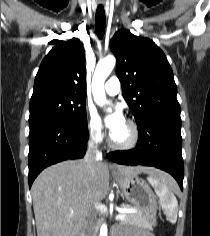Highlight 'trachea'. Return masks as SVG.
<instances>
[{
    "label": "trachea",
    "mask_w": 210,
    "mask_h": 236,
    "mask_svg": "<svg viewBox=\"0 0 210 236\" xmlns=\"http://www.w3.org/2000/svg\"><path fill=\"white\" fill-rule=\"evenodd\" d=\"M106 18L103 5H98L95 16V28L97 36L101 39L105 33Z\"/></svg>",
    "instance_id": "1"
}]
</instances>
